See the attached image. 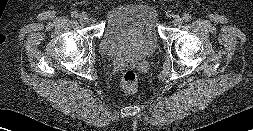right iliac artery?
Listing matches in <instances>:
<instances>
[{
  "label": "right iliac artery",
  "mask_w": 253,
  "mask_h": 131,
  "mask_svg": "<svg viewBox=\"0 0 253 131\" xmlns=\"http://www.w3.org/2000/svg\"><path fill=\"white\" fill-rule=\"evenodd\" d=\"M71 16H72L73 18H78V17H79V13H78L77 11H73V12L71 13Z\"/></svg>",
  "instance_id": "1"
}]
</instances>
